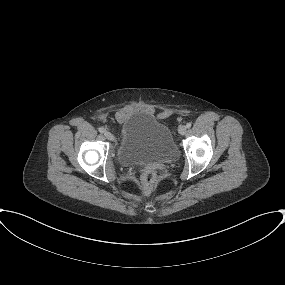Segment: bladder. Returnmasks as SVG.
Instances as JSON below:
<instances>
[{
	"mask_svg": "<svg viewBox=\"0 0 285 285\" xmlns=\"http://www.w3.org/2000/svg\"><path fill=\"white\" fill-rule=\"evenodd\" d=\"M178 156L171 130L153 114L135 111L123 122L118 154L123 165L172 163Z\"/></svg>",
	"mask_w": 285,
	"mask_h": 285,
	"instance_id": "31cf9c89",
	"label": "bladder"
}]
</instances>
